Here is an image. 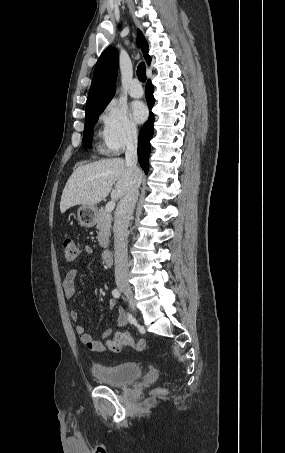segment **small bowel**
I'll list each match as a JSON object with an SVG mask.
<instances>
[{
	"label": "small bowel",
	"mask_w": 285,
	"mask_h": 453,
	"mask_svg": "<svg viewBox=\"0 0 285 453\" xmlns=\"http://www.w3.org/2000/svg\"><path fill=\"white\" fill-rule=\"evenodd\" d=\"M83 252L86 255L93 254V248L91 246L86 245L83 248ZM77 271L74 268H71L67 271L65 278L63 280V292L67 298H71L75 294V285L74 281L76 278ZM108 307L111 311L117 314V326L123 327L128 322V316L122 309H117V303L114 299H111L108 303ZM70 318L72 321L77 322L76 324V332L79 335L80 341L82 344L86 346L87 349L93 352H102L105 350V344L101 340L95 339L90 333L85 331L84 325L79 323V313L77 310H72L70 312ZM113 333L112 328H108L103 331L102 338L106 339L110 337Z\"/></svg>",
	"instance_id": "small-bowel-1"
}]
</instances>
